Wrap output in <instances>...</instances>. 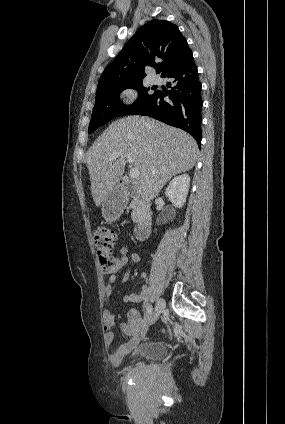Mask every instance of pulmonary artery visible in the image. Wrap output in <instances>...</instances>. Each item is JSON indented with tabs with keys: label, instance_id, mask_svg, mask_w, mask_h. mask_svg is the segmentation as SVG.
<instances>
[{
	"label": "pulmonary artery",
	"instance_id": "pulmonary-artery-1",
	"mask_svg": "<svg viewBox=\"0 0 285 424\" xmlns=\"http://www.w3.org/2000/svg\"><path fill=\"white\" fill-rule=\"evenodd\" d=\"M159 81H160V79H159V77H158V76H153V77H152V83H153V84H158V83H159Z\"/></svg>",
	"mask_w": 285,
	"mask_h": 424
}]
</instances>
